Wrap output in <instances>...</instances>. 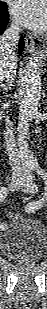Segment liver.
<instances>
[{"instance_id":"obj_1","label":"liver","mask_w":47,"mask_h":309,"mask_svg":"<svg viewBox=\"0 0 47 309\" xmlns=\"http://www.w3.org/2000/svg\"><path fill=\"white\" fill-rule=\"evenodd\" d=\"M16 67H17V59H16V61H15V69H16Z\"/></svg>"}]
</instances>
